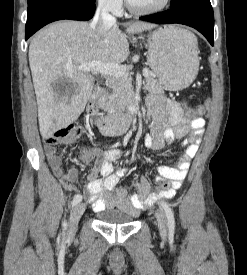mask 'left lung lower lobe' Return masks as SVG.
I'll use <instances>...</instances> for the list:
<instances>
[{
    "mask_svg": "<svg viewBox=\"0 0 247 275\" xmlns=\"http://www.w3.org/2000/svg\"><path fill=\"white\" fill-rule=\"evenodd\" d=\"M140 19L159 24L188 25L202 33L212 46L214 44V15L210 0L191 1Z\"/></svg>",
    "mask_w": 247,
    "mask_h": 275,
    "instance_id": "0a47b994",
    "label": "left lung lower lobe"
}]
</instances>
